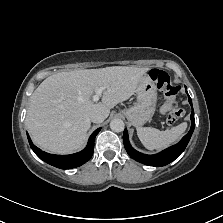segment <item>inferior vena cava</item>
<instances>
[{
    "mask_svg": "<svg viewBox=\"0 0 223 223\" xmlns=\"http://www.w3.org/2000/svg\"><path fill=\"white\" fill-rule=\"evenodd\" d=\"M90 120L94 123H101L104 121V116L100 112H92L90 114Z\"/></svg>",
    "mask_w": 223,
    "mask_h": 223,
    "instance_id": "1",
    "label": "inferior vena cava"
}]
</instances>
